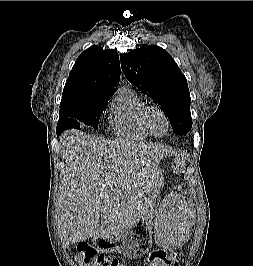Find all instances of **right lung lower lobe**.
<instances>
[{
  "label": "right lung lower lobe",
  "mask_w": 253,
  "mask_h": 266,
  "mask_svg": "<svg viewBox=\"0 0 253 266\" xmlns=\"http://www.w3.org/2000/svg\"><path fill=\"white\" fill-rule=\"evenodd\" d=\"M61 130L60 129H57V135L59 136L61 134Z\"/></svg>",
  "instance_id": "98d812e1"
}]
</instances>
